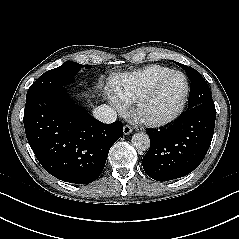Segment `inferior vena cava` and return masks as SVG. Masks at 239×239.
<instances>
[{
	"mask_svg": "<svg viewBox=\"0 0 239 239\" xmlns=\"http://www.w3.org/2000/svg\"><path fill=\"white\" fill-rule=\"evenodd\" d=\"M94 117L102 123L110 124L116 121L117 113L108 105H100L93 111Z\"/></svg>",
	"mask_w": 239,
	"mask_h": 239,
	"instance_id": "602c4592",
	"label": "inferior vena cava"
}]
</instances>
